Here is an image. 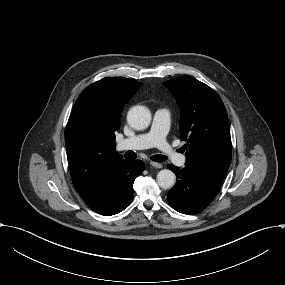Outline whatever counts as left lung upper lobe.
Segmentation results:
<instances>
[{"mask_svg": "<svg viewBox=\"0 0 285 285\" xmlns=\"http://www.w3.org/2000/svg\"><path fill=\"white\" fill-rule=\"evenodd\" d=\"M180 109V139L185 141V167L222 182L232 155L227 112L219 95L189 76L165 81Z\"/></svg>", "mask_w": 285, "mask_h": 285, "instance_id": "5c2ea615", "label": "left lung upper lobe"}]
</instances>
